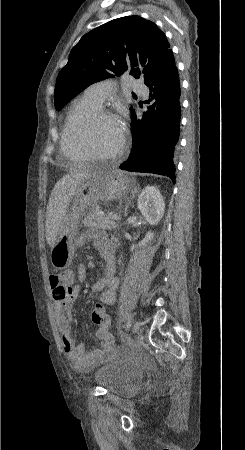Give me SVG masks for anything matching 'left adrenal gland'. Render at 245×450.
Returning <instances> with one entry per match:
<instances>
[{
	"mask_svg": "<svg viewBox=\"0 0 245 450\" xmlns=\"http://www.w3.org/2000/svg\"><path fill=\"white\" fill-rule=\"evenodd\" d=\"M139 189H140L139 187H134L130 191L131 196H130V199H128L127 204H126L125 209H124V215L125 216L127 215L128 207L131 204L132 200L135 198V195H137L139 193Z\"/></svg>",
	"mask_w": 245,
	"mask_h": 450,
	"instance_id": "a2214340",
	"label": "left adrenal gland"
}]
</instances>
